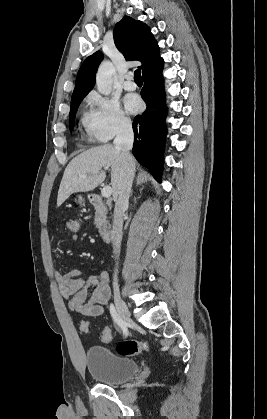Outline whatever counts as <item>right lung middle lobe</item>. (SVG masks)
Listing matches in <instances>:
<instances>
[{
    "label": "right lung middle lobe",
    "instance_id": "right-lung-middle-lobe-1",
    "mask_svg": "<svg viewBox=\"0 0 267 419\" xmlns=\"http://www.w3.org/2000/svg\"><path fill=\"white\" fill-rule=\"evenodd\" d=\"M85 96H81V97H75V98H71V107H70V131L73 130L74 128V123H75V115L77 112V109L81 103V101L83 100Z\"/></svg>",
    "mask_w": 267,
    "mask_h": 419
}]
</instances>
